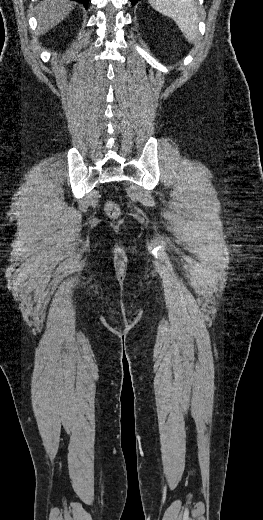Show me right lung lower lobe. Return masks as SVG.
Masks as SVG:
<instances>
[{"label":"right lung lower lobe","mask_w":263,"mask_h":520,"mask_svg":"<svg viewBox=\"0 0 263 520\" xmlns=\"http://www.w3.org/2000/svg\"><path fill=\"white\" fill-rule=\"evenodd\" d=\"M74 1L82 3L85 6V8H87L88 2H89V0H74Z\"/></svg>","instance_id":"1"}]
</instances>
